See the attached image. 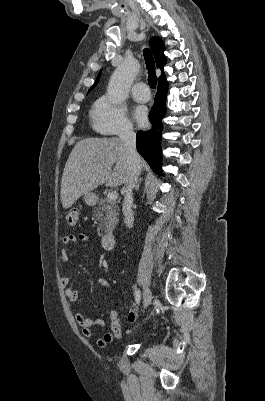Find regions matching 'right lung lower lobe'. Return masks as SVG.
Returning <instances> with one entry per match:
<instances>
[{"instance_id": "right-lung-lower-lobe-1", "label": "right lung lower lobe", "mask_w": 265, "mask_h": 401, "mask_svg": "<svg viewBox=\"0 0 265 401\" xmlns=\"http://www.w3.org/2000/svg\"><path fill=\"white\" fill-rule=\"evenodd\" d=\"M168 90L167 84H158L157 94L155 96L154 105L149 114V120L152 128L148 131H139L137 133V150L156 172H161V119L165 115L166 94Z\"/></svg>"}]
</instances>
